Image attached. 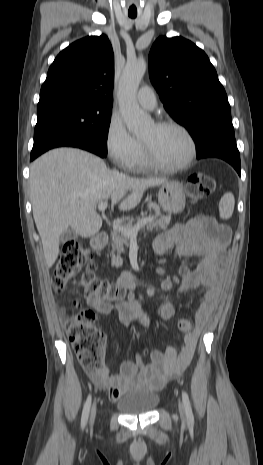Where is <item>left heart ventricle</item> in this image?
Listing matches in <instances>:
<instances>
[{"label":"left heart ventricle","instance_id":"1","mask_svg":"<svg viewBox=\"0 0 263 465\" xmlns=\"http://www.w3.org/2000/svg\"><path fill=\"white\" fill-rule=\"evenodd\" d=\"M141 140L151 147L159 161L168 165L183 162L190 152L188 139L176 128L159 129L153 124L145 130Z\"/></svg>","mask_w":263,"mask_h":465}]
</instances>
